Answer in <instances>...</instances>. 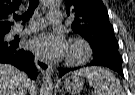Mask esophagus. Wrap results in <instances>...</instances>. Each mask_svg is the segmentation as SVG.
Wrapping results in <instances>:
<instances>
[{
	"instance_id": "obj_1",
	"label": "esophagus",
	"mask_w": 135,
	"mask_h": 95,
	"mask_svg": "<svg viewBox=\"0 0 135 95\" xmlns=\"http://www.w3.org/2000/svg\"><path fill=\"white\" fill-rule=\"evenodd\" d=\"M35 65L43 74H51L53 71L52 65L37 55L35 56Z\"/></svg>"
}]
</instances>
